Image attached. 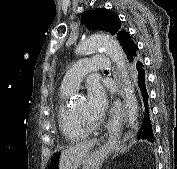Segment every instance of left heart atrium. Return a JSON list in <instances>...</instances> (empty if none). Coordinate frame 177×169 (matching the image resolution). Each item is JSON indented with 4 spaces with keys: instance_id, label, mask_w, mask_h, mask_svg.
Returning <instances> with one entry per match:
<instances>
[{
    "instance_id": "left-heart-atrium-1",
    "label": "left heart atrium",
    "mask_w": 177,
    "mask_h": 169,
    "mask_svg": "<svg viewBox=\"0 0 177 169\" xmlns=\"http://www.w3.org/2000/svg\"><path fill=\"white\" fill-rule=\"evenodd\" d=\"M87 100L91 110L102 115L107 107V96L104 88L96 83L91 82L87 88Z\"/></svg>"
}]
</instances>
